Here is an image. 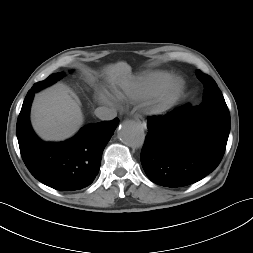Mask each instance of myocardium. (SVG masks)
<instances>
[{
    "label": "myocardium",
    "mask_w": 253,
    "mask_h": 253,
    "mask_svg": "<svg viewBox=\"0 0 253 253\" xmlns=\"http://www.w3.org/2000/svg\"><path fill=\"white\" fill-rule=\"evenodd\" d=\"M184 88V82L181 79H174L163 86L153 96L151 108L154 113H164L178 100Z\"/></svg>",
    "instance_id": "f54148a6"
}]
</instances>
